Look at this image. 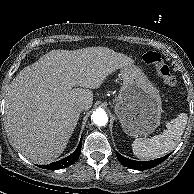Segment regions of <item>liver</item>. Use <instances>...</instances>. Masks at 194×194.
I'll return each mask as SVG.
<instances>
[{"label":"liver","mask_w":194,"mask_h":194,"mask_svg":"<svg viewBox=\"0 0 194 194\" xmlns=\"http://www.w3.org/2000/svg\"><path fill=\"white\" fill-rule=\"evenodd\" d=\"M133 65L107 47L52 50L25 67L6 94L4 120L15 148L34 163L53 162L65 150L77 125V104L89 110L91 89L116 70Z\"/></svg>","instance_id":"6515ba94"}]
</instances>
